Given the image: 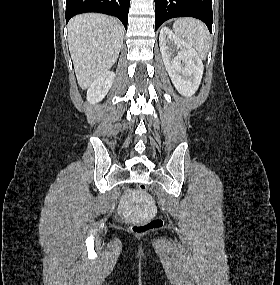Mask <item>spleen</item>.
I'll list each match as a JSON object with an SVG mask.
<instances>
[{
    "instance_id": "1",
    "label": "spleen",
    "mask_w": 280,
    "mask_h": 285,
    "mask_svg": "<svg viewBox=\"0 0 280 285\" xmlns=\"http://www.w3.org/2000/svg\"><path fill=\"white\" fill-rule=\"evenodd\" d=\"M173 30L181 40L195 49L200 58L207 57L210 36L204 23L197 19L181 18L175 21Z\"/></svg>"
}]
</instances>
